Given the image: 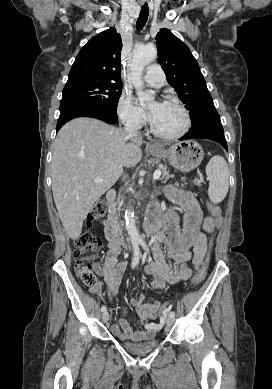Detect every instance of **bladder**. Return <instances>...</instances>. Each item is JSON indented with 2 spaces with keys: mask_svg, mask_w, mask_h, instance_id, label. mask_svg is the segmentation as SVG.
<instances>
[{
  "mask_svg": "<svg viewBox=\"0 0 272 389\" xmlns=\"http://www.w3.org/2000/svg\"><path fill=\"white\" fill-rule=\"evenodd\" d=\"M159 341L157 339H150L144 342L140 343H135V342H130V341H122L121 346L134 354H139V353H146L149 351L154 350L156 347H158Z\"/></svg>",
  "mask_w": 272,
  "mask_h": 389,
  "instance_id": "obj_1",
  "label": "bladder"
}]
</instances>
